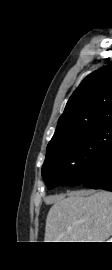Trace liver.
Listing matches in <instances>:
<instances>
[{
    "label": "liver",
    "instance_id": "liver-1",
    "mask_svg": "<svg viewBox=\"0 0 112 270\" xmlns=\"http://www.w3.org/2000/svg\"><path fill=\"white\" fill-rule=\"evenodd\" d=\"M54 198L45 242H105L112 235V192L73 191Z\"/></svg>",
    "mask_w": 112,
    "mask_h": 270
}]
</instances>
